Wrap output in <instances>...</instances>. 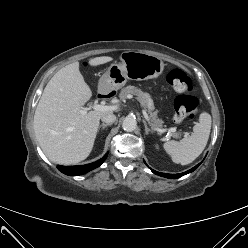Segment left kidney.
<instances>
[{"instance_id": "left-kidney-1", "label": "left kidney", "mask_w": 248, "mask_h": 248, "mask_svg": "<svg viewBox=\"0 0 248 248\" xmlns=\"http://www.w3.org/2000/svg\"><path fill=\"white\" fill-rule=\"evenodd\" d=\"M156 149H159L158 145H156Z\"/></svg>"}]
</instances>
